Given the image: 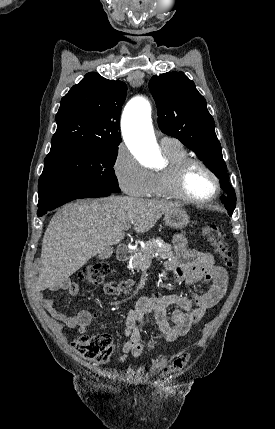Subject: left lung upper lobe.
I'll return each mask as SVG.
<instances>
[{
    "mask_svg": "<svg viewBox=\"0 0 275 429\" xmlns=\"http://www.w3.org/2000/svg\"><path fill=\"white\" fill-rule=\"evenodd\" d=\"M149 89L157 103L159 128L194 151L220 179V186L228 196L223 197L222 203L231 216L236 206V194L228 181L221 145L214 130L215 122L208 112L206 100L183 72L155 75L149 82Z\"/></svg>",
    "mask_w": 275,
    "mask_h": 429,
    "instance_id": "1",
    "label": "left lung upper lobe"
}]
</instances>
